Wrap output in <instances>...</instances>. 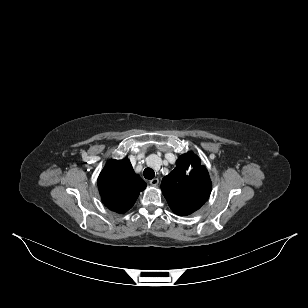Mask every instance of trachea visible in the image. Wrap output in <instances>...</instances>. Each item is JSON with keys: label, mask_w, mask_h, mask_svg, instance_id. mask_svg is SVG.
<instances>
[{"label": "trachea", "mask_w": 308, "mask_h": 308, "mask_svg": "<svg viewBox=\"0 0 308 308\" xmlns=\"http://www.w3.org/2000/svg\"><path fill=\"white\" fill-rule=\"evenodd\" d=\"M143 175L146 179H153L155 176V172L151 168H146L143 172Z\"/></svg>", "instance_id": "trachea-1"}]
</instances>
